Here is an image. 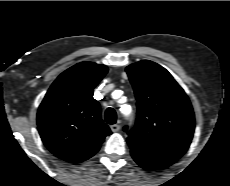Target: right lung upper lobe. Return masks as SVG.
<instances>
[{
	"mask_svg": "<svg viewBox=\"0 0 230 186\" xmlns=\"http://www.w3.org/2000/svg\"><path fill=\"white\" fill-rule=\"evenodd\" d=\"M108 68L82 62L64 71L51 85L37 113L44 145L58 158L82 162L92 157L111 134L102 121L93 89Z\"/></svg>",
	"mask_w": 230,
	"mask_h": 186,
	"instance_id": "right-lung-upper-lobe-1",
	"label": "right lung upper lobe"
}]
</instances>
